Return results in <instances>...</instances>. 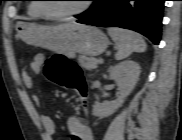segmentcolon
I'll return each mask as SVG.
<instances>
[{
  "label": "colon",
  "instance_id": "obj_1",
  "mask_svg": "<svg viewBox=\"0 0 182 140\" xmlns=\"http://www.w3.org/2000/svg\"><path fill=\"white\" fill-rule=\"evenodd\" d=\"M45 73L52 81L73 91L86 110L87 85L80 67L75 62L64 57L53 58L45 64ZM73 140L79 138L73 137Z\"/></svg>",
  "mask_w": 182,
  "mask_h": 140
}]
</instances>
